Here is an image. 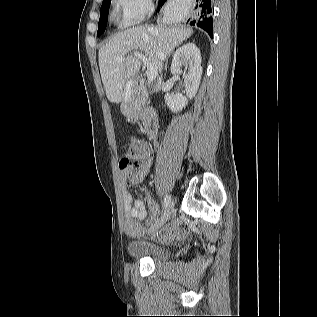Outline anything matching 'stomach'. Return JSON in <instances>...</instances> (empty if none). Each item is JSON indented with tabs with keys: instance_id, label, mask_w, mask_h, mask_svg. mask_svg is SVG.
<instances>
[{
	"instance_id": "obj_1",
	"label": "stomach",
	"mask_w": 317,
	"mask_h": 317,
	"mask_svg": "<svg viewBox=\"0 0 317 317\" xmlns=\"http://www.w3.org/2000/svg\"><path fill=\"white\" fill-rule=\"evenodd\" d=\"M127 80H128V82H130V83H131V82H133V80H134V79H133V77H131V76H130V77H128V79H127Z\"/></svg>"
}]
</instances>
